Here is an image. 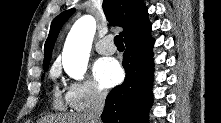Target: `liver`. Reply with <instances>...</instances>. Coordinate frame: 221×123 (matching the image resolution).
<instances>
[{"label": "liver", "mask_w": 221, "mask_h": 123, "mask_svg": "<svg viewBox=\"0 0 221 123\" xmlns=\"http://www.w3.org/2000/svg\"><path fill=\"white\" fill-rule=\"evenodd\" d=\"M48 123H91L85 114H73L65 115L63 117H58L56 119H48Z\"/></svg>", "instance_id": "1"}]
</instances>
